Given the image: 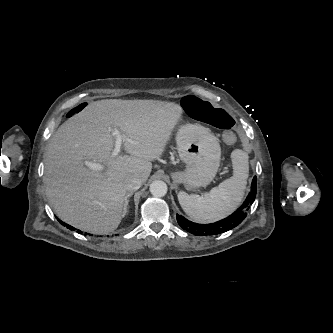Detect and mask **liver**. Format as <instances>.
<instances>
[{
	"mask_svg": "<svg viewBox=\"0 0 333 333\" xmlns=\"http://www.w3.org/2000/svg\"><path fill=\"white\" fill-rule=\"evenodd\" d=\"M181 115L172 102L105 99L63 123L48 144L44 170L46 194L60 219L90 233L113 232L124 217L125 180L146 182ZM114 129L124 136L126 155L112 157ZM85 160L104 170L89 169Z\"/></svg>",
	"mask_w": 333,
	"mask_h": 333,
	"instance_id": "6515ba94",
	"label": "liver"
}]
</instances>
